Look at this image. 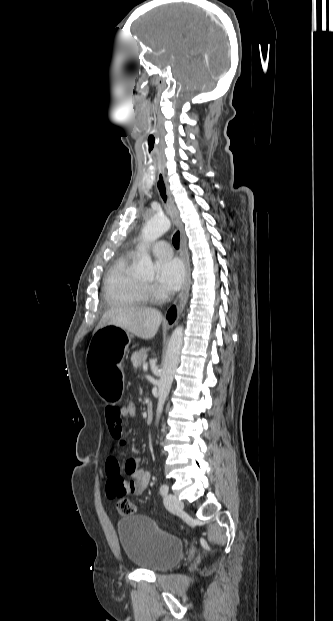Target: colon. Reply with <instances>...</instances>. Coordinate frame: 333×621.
Returning a JSON list of instances; mask_svg holds the SVG:
<instances>
[{
	"label": "colon",
	"mask_w": 333,
	"mask_h": 621,
	"mask_svg": "<svg viewBox=\"0 0 333 621\" xmlns=\"http://www.w3.org/2000/svg\"><path fill=\"white\" fill-rule=\"evenodd\" d=\"M120 407L122 409L123 416L125 418L132 419L137 416V413H138L137 404L135 400H133L132 398L128 397V398L122 399ZM116 506H117L118 512L122 515H131L135 512V506L127 498H120Z\"/></svg>",
	"instance_id": "obj_1"
}]
</instances>
